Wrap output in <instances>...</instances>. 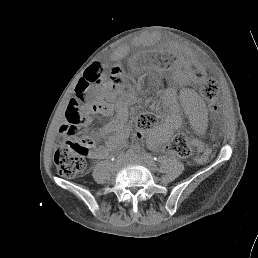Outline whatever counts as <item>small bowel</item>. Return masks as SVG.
Returning a JSON list of instances; mask_svg holds the SVG:
<instances>
[{
	"instance_id": "small-bowel-1",
	"label": "small bowel",
	"mask_w": 258,
	"mask_h": 258,
	"mask_svg": "<svg viewBox=\"0 0 258 258\" xmlns=\"http://www.w3.org/2000/svg\"><path fill=\"white\" fill-rule=\"evenodd\" d=\"M133 46H139V43L135 42ZM125 49L117 53V57L121 56ZM91 98L96 101L93 107H89L83 111V118L86 123H89L95 114L110 115L113 112V106L110 100H104L102 98V89L100 87L93 88L89 91ZM105 134H114L109 142L104 145L93 149L90 152V157L103 158L115 150L122 141L127 138V130L119 123L109 124L104 129ZM159 136L152 138L151 144L158 142Z\"/></svg>"
}]
</instances>
